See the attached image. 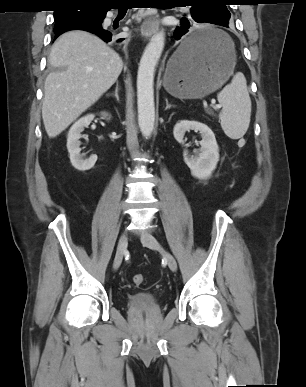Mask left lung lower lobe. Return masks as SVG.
<instances>
[{"label": "left lung lower lobe", "mask_w": 306, "mask_h": 387, "mask_svg": "<svg viewBox=\"0 0 306 387\" xmlns=\"http://www.w3.org/2000/svg\"><path fill=\"white\" fill-rule=\"evenodd\" d=\"M196 23H211L207 21L204 15H190L183 17L180 20V25L174 31V37L178 40L186 33L191 32ZM214 24V23H211ZM228 27L226 24H216ZM217 36L212 31H197L191 35H187L182 43V54L184 56H194L201 51L209 49L216 41Z\"/></svg>", "instance_id": "0a47b994"}]
</instances>
